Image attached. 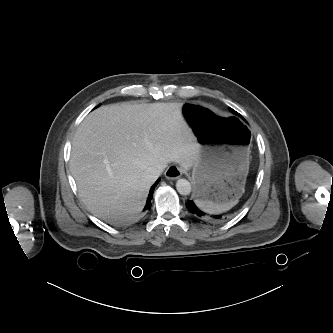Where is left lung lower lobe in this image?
Here are the masks:
<instances>
[{
    "label": "left lung lower lobe",
    "instance_id": "obj_1",
    "mask_svg": "<svg viewBox=\"0 0 333 333\" xmlns=\"http://www.w3.org/2000/svg\"><path fill=\"white\" fill-rule=\"evenodd\" d=\"M186 207L187 209L194 215L200 217V218H205L206 217V214L202 211H200L194 204L193 201H188L186 203ZM214 220H224V216L222 215H219V216H213L212 217Z\"/></svg>",
    "mask_w": 333,
    "mask_h": 333
}]
</instances>
